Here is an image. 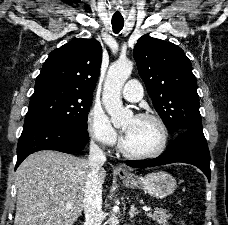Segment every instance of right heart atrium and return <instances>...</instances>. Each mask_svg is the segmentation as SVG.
Listing matches in <instances>:
<instances>
[{"label": "right heart atrium", "mask_w": 228, "mask_h": 225, "mask_svg": "<svg viewBox=\"0 0 228 225\" xmlns=\"http://www.w3.org/2000/svg\"><path fill=\"white\" fill-rule=\"evenodd\" d=\"M86 128L90 138L101 146H113L118 140L106 113L97 105L92 106L87 114Z\"/></svg>", "instance_id": "d8ad5b80"}]
</instances>
